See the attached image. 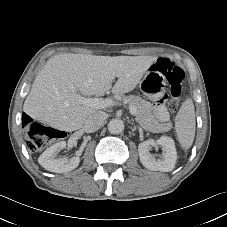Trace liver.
I'll return each instance as SVG.
<instances>
[{"label": "liver", "mask_w": 227, "mask_h": 227, "mask_svg": "<svg viewBox=\"0 0 227 227\" xmlns=\"http://www.w3.org/2000/svg\"><path fill=\"white\" fill-rule=\"evenodd\" d=\"M152 56H96L64 53L50 58L36 76L23 111L55 129L72 132L99 112L80 97L131 92L156 61ZM115 78H118L112 86Z\"/></svg>", "instance_id": "liver-1"}]
</instances>
